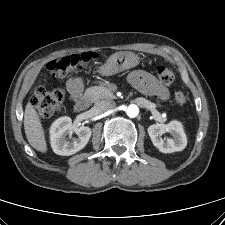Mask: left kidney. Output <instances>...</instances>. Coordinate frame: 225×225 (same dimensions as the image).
<instances>
[{"instance_id": "left-kidney-1", "label": "left kidney", "mask_w": 225, "mask_h": 225, "mask_svg": "<svg viewBox=\"0 0 225 225\" xmlns=\"http://www.w3.org/2000/svg\"><path fill=\"white\" fill-rule=\"evenodd\" d=\"M147 131L153 145L162 153L182 151L187 145L183 126L179 121L174 120L168 124H152ZM165 132L170 133L173 138L163 140L161 135Z\"/></svg>"}]
</instances>
